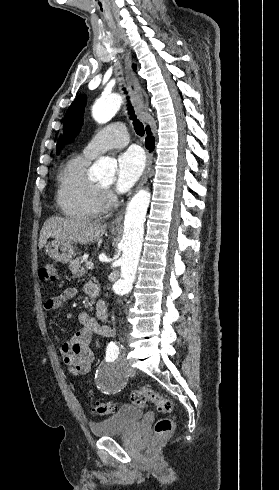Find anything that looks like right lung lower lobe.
Wrapping results in <instances>:
<instances>
[{
	"mask_svg": "<svg viewBox=\"0 0 279 490\" xmlns=\"http://www.w3.org/2000/svg\"><path fill=\"white\" fill-rule=\"evenodd\" d=\"M146 131H147V137H146V148L149 149L150 151L153 150L154 148V137L153 136H150L151 135V132H150V128L147 127L146 128Z\"/></svg>",
	"mask_w": 279,
	"mask_h": 490,
	"instance_id": "right-lung-lower-lobe-1",
	"label": "right lung lower lobe"
}]
</instances>
